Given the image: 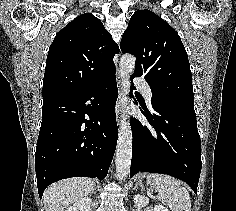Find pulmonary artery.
Segmentation results:
<instances>
[{
  "label": "pulmonary artery",
  "mask_w": 236,
  "mask_h": 211,
  "mask_svg": "<svg viewBox=\"0 0 236 211\" xmlns=\"http://www.w3.org/2000/svg\"><path fill=\"white\" fill-rule=\"evenodd\" d=\"M135 84L138 86L140 91L143 93L145 99L150 102L152 100V92L149 84L143 79H136Z\"/></svg>",
  "instance_id": "obj_1"
}]
</instances>
